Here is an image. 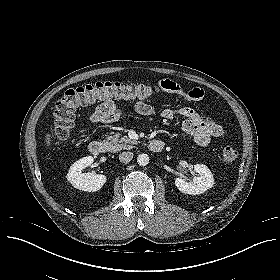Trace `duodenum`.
I'll return each instance as SVG.
<instances>
[{"instance_id":"410a0bca","label":"duodenum","mask_w":280,"mask_h":280,"mask_svg":"<svg viewBox=\"0 0 280 280\" xmlns=\"http://www.w3.org/2000/svg\"><path fill=\"white\" fill-rule=\"evenodd\" d=\"M149 150L153 153H159L164 148V143L161 140H153L149 143ZM106 144L100 140H93L89 143L88 150L89 152L95 155H103L106 153Z\"/></svg>"}]
</instances>
